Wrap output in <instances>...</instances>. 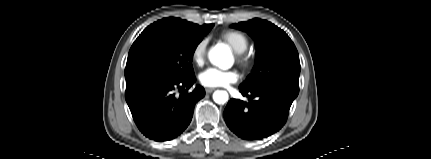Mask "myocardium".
<instances>
[{
    "label": "myocardium",
    "instance_id": "obj_1",
    "mask_svg": "<svg viewBox=\"0 0 431 159\" xmlns=\"http://www.w3.org/2000/svg\"><path fill=\"white\" fill-rule=\"evenodd\" d=\"M237 60L244 68H249L252 64V60H251L250 56H248L244 52L243 53H237Z\"/></svg>",
    "mask_w": 431,
    "mask_h": 159
}]
</instances>
